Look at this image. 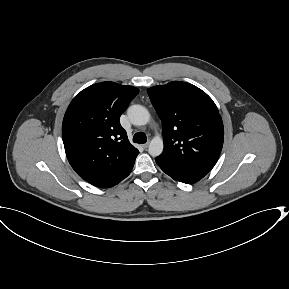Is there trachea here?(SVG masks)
I'll list each match as a JSON object with an SVG mask.
<instances>
[{
    "label": "trachea",
    "mask_w": 289,
    "mask_h": 289,
    "mask_svg": "<svg viewBox=\"0 0 289 289\" xmlns=\"http://www.w3.org/2000/svg\"><path fill=\"white\" fill-rule=\"evenodd\" d=\"M133 141H134L135 143H139V144L146 143V141H147L146 134L143 133V132H137V133L133 136Z\"/></svg>",
    "instance_id": "trachea-1"
}]
</instances>
